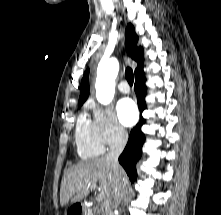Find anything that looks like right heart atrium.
Masks as SVG:
<instances>
[{
  "label": "right heart atrium",
  "mask_w": 221,
  "mask_h": 215,
  "mask_svg": "<svg viewBox=\"0 0 221 215\" xmlns=\"http://www.w3.org/2000/svg\"><path fill=\"white\" fill-rule=\"evenodd\" d=\"M92 113V124L98 140L103 146H113L124 142L127 131L118 122L110 107L89 106Z\"/></svg>",
  "instance_id": "1"
}]
</instances>
